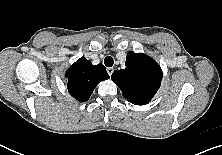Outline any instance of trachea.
I'll return each instance as SVG.
<instances>
[{"label": "trachea", "instance_id": "3493384b", "mask_svg": "<svg viewBox=\"0 0 222 155\" xmlns=\"http://www.w3.org/2000/svg\"><path fill=\"white\" fill-rule=\"evenodd\" d=\"M104 64H105L107 67H112L113 64H114V59H113L111 56H107V57H105V59H104Z\"/></svg>", "mask_w": 222, "mask_h": 155}]
</instances>
